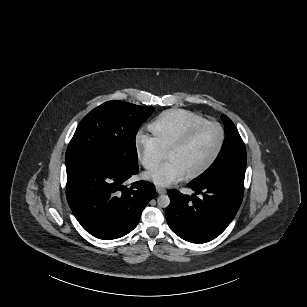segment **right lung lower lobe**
I'll use <instances>...</instances> for the list:
<instances>
[{
    "label": "right lung lower lobe",
    "mask_w": 307,
    "mask_h": 307,
    "mask_svg": "<svg viewBox=\"0 0 307 307\" xmlns=\"http://www.w3.org/2000/svg\"><path fill=\"white\" fill-rule=\"evenodd\" d=\"M137 172L97 161L67 167V200L87 232L111 240L136 227L143 209L155 195L154 185L147 181L135 182L131 188L122 186Z\"/></svg>",
    "instance_id": "1"
}]
</instances>
